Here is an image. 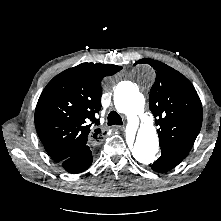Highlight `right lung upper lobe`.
<instances>
[{"mask_svg": "<svg viewBox=\"0 0 221 221\" xmlns=\"http://www.w3.org/2000/svg\"><path fill=\"white\" fill-rule=\"evenodd\" d=\"M116 65L82 63L55 76L43 90L35 110V127L46 151L62 162L97 141L101 81L121 70Z\"/></svg>", "mask_w": 221, "mask_h": 221, "instance_id": "right-lung-upper-lobe-1", "label": "right lung upper lobe"}]
</instances>
